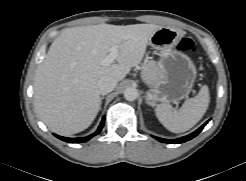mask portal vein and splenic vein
I'll return each instance as SVG.
<instances>
[{
	"mask_svg": "<svg viewBox=\"0 0 246 181\" xmlns=\"http://www.w3.org/2000/svg\"><path fill=\"white\" fill-rule=\"evenodd\" d=\"M119 54L118 47L113 46L110 50V53L103 59L102 63L105 66H108L114 62Z\"/></svg>",
	"mask_w": 246,
	"mask_h": 181,
	"instance_id": "portal-vein-and-splenic-vein-1",
	"label": "portal vein and splenic vein"
}]
</instances>
